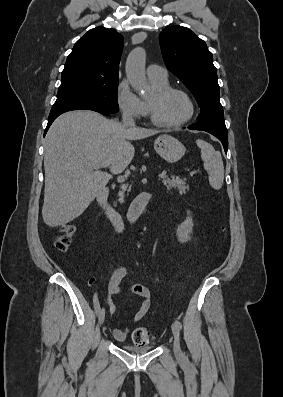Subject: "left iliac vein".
Here are the masks:
<instances>
[{
    "label": "left iliac vein",
    "instance_id": "1",
    "mask_svg": "<svg viewBox=\"0 0 283 397\" xmlns=\"http://www.w3.org/2000/svg\"><path fill=\"white\" fill-rule=\"evenodd\" d=\"M172 333L174 336V353L177 358H182L183 353L180 347V336H179V329L175 323L172 324Z\"/></svg>",
    "mask_w": 283,
    "mask_h": 397
}]
</instances>
